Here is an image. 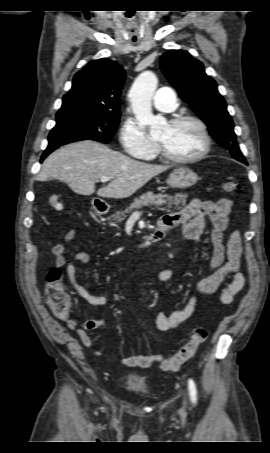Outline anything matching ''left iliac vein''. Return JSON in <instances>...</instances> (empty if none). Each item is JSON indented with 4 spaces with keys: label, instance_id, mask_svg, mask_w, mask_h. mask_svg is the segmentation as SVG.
Masks as SVG:
<instances>
[{
    "label": "left iliac vein",
    "instance_id": "left-iliac-vein-1",
    "mask_svg": "<svg viewBox=\"0 0 270 453\" xmlns=\"http://www.w3.org/2000/svg\"><path fill=\"white\" fill-rule=\"evenodd\" d=\"M186 405V401H184V406Z\"/></svg>",
    "mask_w": 270,
    "mask_h": 453
}]
</instances>
